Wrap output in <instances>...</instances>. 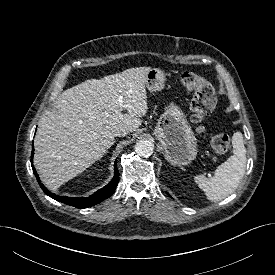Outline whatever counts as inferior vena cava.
I'll return each instance as SVG.
<instances>
[{
    "label": "inferior vena cava",
    "mask_w": 275,
    "mask_h": 275,
    "mask_svg": "<svg viewBox=\"0 0 275 275\" xmlns=\"http://www.w3.org/2000/svg\"><path fill=\"white\" fill-rule=\"evenodd\" d=\"M128 134V131L126 129H120L115 132L116 137H123Z\"/></svg>",
    "instance_id": "1"
}]
</instances>
